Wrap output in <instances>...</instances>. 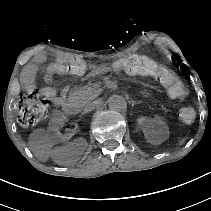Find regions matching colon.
Instances as JSON below:
<instances>
[{
    "instance_id": "1",
    "label": "colon",
    "mask_w": 211,
    "mask_h": 211,
    "mask_svg": "<svg viewBox=\"0 0 211 211\" xmlns=\"http://www.w3.org/2000/svg\"><path fill=\"white\" fill-rule=\"evenodd\" d=\"M98 67H110L113 71L124 72L129 75H149L157 78L164 84L169 93L176 98L183 99L187 90L182 83L165 67L149 57L132 55L113 61L109 65ZM86 65L80 60H68L61 63H54L48 68L49 76L54 74H75L84 73ZM50 109V98L41 89L33 90L23 94L18 103V121L24 127H32L43 120ZM179 117L185 124H192L196 113L193 108H183Z\"/></svg>"
}]
</instances>
